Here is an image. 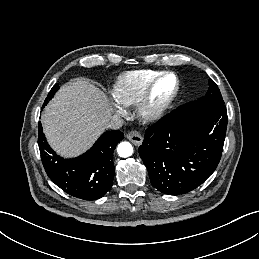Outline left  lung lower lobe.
I'll return each mask as SVG.
<instances>
[{"label":"left lung lower lobe","mask_w":259,"mask_h":259,"mask_svg":"<svg viewBox=\"0 0 259 259\" xmlns=\"http://www.w3.org/2000/svg\"><path fill=\"white\" fill-rule=\"evenodd\" d=\"M225 106L178 107L146 130L139 155L151 184L178 195L200 186L222 156L227 128Z\"/></svg>","instance_id":"obj_1"}]
</instances>
